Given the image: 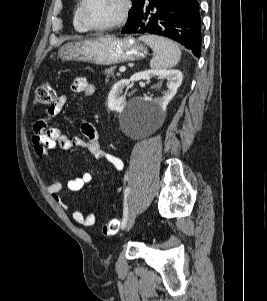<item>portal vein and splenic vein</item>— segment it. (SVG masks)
<instances>
[{
	"label": "portal vein and splenic vein",
	"instance_id": "18ae733b",
	"mask_svg": "<svg viewBox=\"0 0 267 301\" xmlns=\"http://www.w3.org/2000/svg\"><path fill=\"white\" fill-rule=\"evenodd\" d=\"M125 71H126V67H120V68H119V72L123 73V72H125Z\"/></svg>",
	"mask_w": 267,
	"mask_h": 301
}]
</instances>
